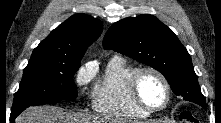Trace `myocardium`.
<instances>
[{
	"label": "myocardium",
	"mask_w": 221,
	"mask_h": 123,
	"mask_svg": "<svg viewBox=\"0 0 221 123\" xmlns=\"http://www.w3.org/2000/svg\"><path fill=\"white\" fill-rule=\"evenodd\" d=\"M153 74L155 75L163 84L165 91H166V99L165 102L162 106L160 107H150L148 106L142 99L141 95H140V91H139V84H140V80L142 78V76L144 74ZM129 93L130 96L133 100V102L144 112L148 113V114H152V113H158L161 112L163 110H165L168 105L170 104L171 101V96H172V91H171V86L169 84L168 79L166 78V76L159 71L158 69L154 68V67H142V68H138L133 75L131 76L130 80H129Z\"/></svg>",
	"instance_id": "f54148a6"
}]
</instances>
